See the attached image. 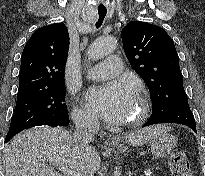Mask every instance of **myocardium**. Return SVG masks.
Masks as SVG:
<instances>
[{"label": "myocardium", "mask_w": 205, "mask_h": 176, "mask_svg": "<svg viewBox=\"0 0 205 176\" xmlns=\"http://www.w3.org/2000/svg\"><path fill=\"white\" fill-rule=\"evenodd\" d=\"M137 100L140 104V111H139L138 115L136 117H134L132 120L124 122V124H123L124 127L139 126V125L143 124L149 116L150 107H149V102H148V99L146 98V96L144 94H139L137 96Z\"/></svg>", "instance_id": "myocardium-1"}]
</instances>
